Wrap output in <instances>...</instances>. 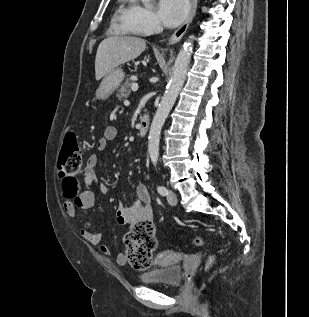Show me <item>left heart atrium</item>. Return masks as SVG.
<instances>
[{"mask_svg": "<svg viewBox=\"0 0 309 317\" xmlns=\"http://www.w3.org/2000/svg\"><path fill=\"white\" fill-rule=\"evenodd\" d=\"M189 0H159L158 14L167 27L179 25L188 15Z\"/></svg>", "mask_w": 309, "mask_h": 317, "instance_id": "39dd6f15", "label": "left heart atrium"}]
</instances>
